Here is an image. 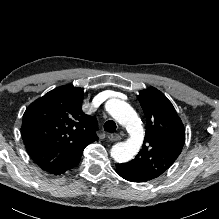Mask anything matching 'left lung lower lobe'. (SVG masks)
<instances>
[{
    "label": "left lung lower lobe",
    "instance_id": "obj_1",
    "mask_svg": "<svg viewBox=\"0 0 219 219\" xmlns=\"http://www.w3.org/2000/svg\"><path fill=\"white\" fill-rule=\"evenodd\" d=\"M116 172L118 175H120L122 178L132 181V182H146L149 181L142 176L136 174L135 172L129 170L128 168L122 166L121 164L116 165Z\"/></svg>",
    "mask_w": 219,
    "mask_h": 219
}]
</instances>
